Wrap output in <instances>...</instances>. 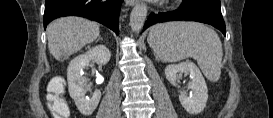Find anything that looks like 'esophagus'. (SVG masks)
I'll use <instances>...</instances> for the list:
<instances>
[{
    "label": "esophagus",
    "mask_w": 273,
    "mask_h": 118,
    "mask_svg": "<svg viewBox=\"0 0 273 118\" xmlns=\"http://www.w3.org/2000/svg\"><path fill=\"white\" fill-rule=\"evenodd\" d=\"M137 2V0H125V4L128 6H134Z\"/></svg>",
    "instance_id": "esophagus-1"
}]
</instances>
